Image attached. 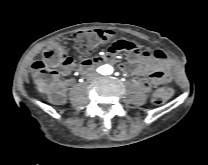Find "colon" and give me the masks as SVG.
<instances>
[{
	"label": "colon",
	"instance_id": "obj_1",
	"mask_svg": "<svg viewBox=\"0 0 208 165\" xmlns=\"http://www.w3.org/2000/svg\"><path fill=\"white\" fill-rule=\"evenodd\" d=\"M107 35L102 30L80 31L74 34L73 40L79 57L90 56L92 49L105 40ZM74 64V58L70 56L64 46L53 42L49 44L42 57L32 64L33 74L41 78L46 90L53 100H60L64 97L65 86L58 79V71L66 69ZM172 96V90L168 87L157 89L153 94V101L156 104H163Z\"/></svg>",
	"mask_w": 208,
	"mask_h": 165
}]
</instances>
